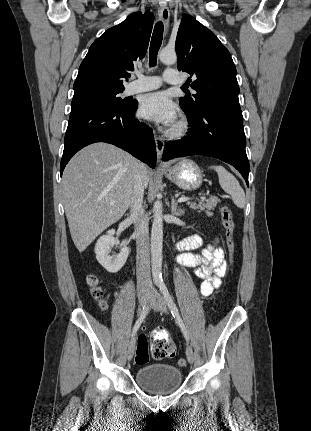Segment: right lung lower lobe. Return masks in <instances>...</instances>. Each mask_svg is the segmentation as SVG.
I'll list each match as a JSON object with an SVG mask.
<instances>
[{"label":"right lung lower lobe","instance_id":"obj_1","mask_svg":"<svg viewBox=\"0 0 311 431\" xmlns=\"http://www.w3.org/2000/svg\"><path fill=\"white\" fill-rule=\"evenodd\" d=\"M137 106L130 110L98 105L71 110L60 164L61 175L76 152L95 142L116 145L154 168L156 146L153 133L134 118Z\"/></svg>","mask_w":311,"mask_h":431}]
</instances>
